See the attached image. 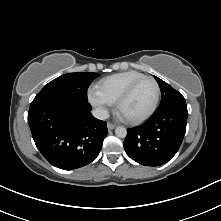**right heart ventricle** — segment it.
Masks as SVG:
<instances>
[{"instance_id":"right-heart-ventricle-1","label":"right heart ventricle","mask_w":221,"mask_h":221,"mask_svg":"<svg viewBox=\"0 0 221 221\" xmlns=\"http://www.w3.org/2000/svg\"><path fill=\"white\" fill-rule=\"evenodd\" d=\"M142 76V73L134 70L117 73L102 79L97 84L96 91L109 103H116L125 89Z\"/></svg>"}]
</instances>
